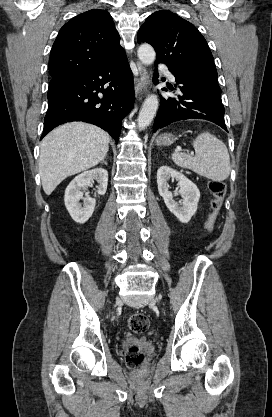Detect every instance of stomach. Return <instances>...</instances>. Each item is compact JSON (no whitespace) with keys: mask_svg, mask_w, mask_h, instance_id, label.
I'll return each mask as SVG.
<instances>
[{"mask_svg":"<svg viewBox=\"0 0 272 417\" xmlns=\"http://www.w3.org/2000/svg\"><path fill=\"white\" fill-rule=\"evenodd\" d=\"M175 140H176V137H174V135L169 134V133H164L156 139V144L158 146H167V145H171L172 143H174Z\"/></svg>","mask_w":272,"mask_h":417,"instance_id":"obj_1","label":"stomach"}]
</instances>
